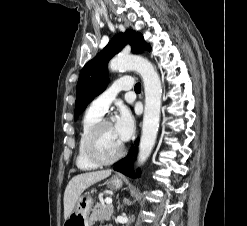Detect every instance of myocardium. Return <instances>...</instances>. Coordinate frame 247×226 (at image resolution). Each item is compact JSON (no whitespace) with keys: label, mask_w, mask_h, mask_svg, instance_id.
I'll return each instance as SVG.
<instances>
[{"label":"myocardium","mask_w":247,"mask_h":226,"mask_svg":"<svg viewBox=\"0 0 247 226\" xmlns=\"http://www.w3.org/2000/svg\"><path fill=\"white\" fill-rule=\"evenodd\" d=\"M112 125L110 120L103 119L97 122L86 134L85 139H84V153L86 158L92 162L93 164L97 166H105V165H110L118 161L123 157L125 154V145L123 144L122 147L120 148L119 152L114 155L111 158L104 159L101 158L95 151L94 149V141L97 135L100 133V131L106 127Z\"/></svg>","instance_id":"1"}]
</instances>
